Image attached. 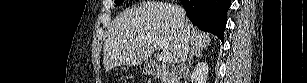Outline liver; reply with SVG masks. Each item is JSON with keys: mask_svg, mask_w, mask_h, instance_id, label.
<instances>
[{"mask_svg": "<svg viewBox=\"0 0 307 83\" xmlns=\"http://www.w3.org/2000/svg\"><path fill=\"white\" fill-rule=\"evenodd\" d=\"M185 37L191 48H205L210 35L185 21L178 6L168 3H147L140 8L127 10L116 17L104 43V67L147 63L158 50L156 40L163 44L164 53L179 62L178 55Z\"/></svg>", "mask_w": 307, "mask_h": 83, "instance_id": "obj_1", "label": "liver"}]
</instances>
